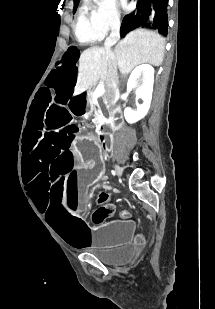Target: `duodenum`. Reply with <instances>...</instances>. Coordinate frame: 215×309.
I'll return each instance as SVG.
<instances>
[{
    "label": "duodenum",
    "mask_w": 215,
    "mask_h": 309,
    "mask_svg": "<svg viewBox=\"0 0 215 309\" xmlns=\"http://www.w3.org/2000/svg\"><path fill=\"white\" fill-rule=\"evenodd\" d=\"M99 141H100L101 145L103 146V148H107L108 142H107L105 133L102 132V131L99 134Z\"/></svg>",
    "instance_id": "1"
}]
</instances>
